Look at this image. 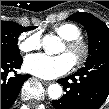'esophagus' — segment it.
Segmentation results:
<instances>
[{
	"instance_id": "1",
	"label": "esophagus",
	"mask_w": 109,
	"mask_h": 109,
	"mask_svg": "<svg viewBox=\"0 0 109 109\" xmlns=\"http://www.w3.org/2000/svg\"><path fill=\"white\" fill-rule=\"evenodd\" d=\"M41 82H42L43 85H46V86L49 85V84H51L50 81H44V80H42Z\"/></svg>"
}]
</instances>
